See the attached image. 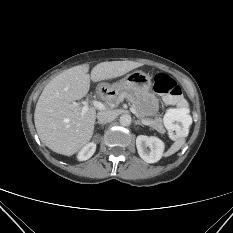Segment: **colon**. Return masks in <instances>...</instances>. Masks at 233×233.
<instances>
[{
    "label": "colon",
    "mask_w": 233,
    "mask_h": 233,
    "mask_svg": "<svg viewBox=\"0 0 233 233\" xmlns=\"http://www.w3.org/2000/svg\"><path fill=\"white\" fill-rule=\"evenodd\" d=\"M154 90L166 98L168 108L164 121L169 135L173 139L184 136L189 128L191 115L177 82L165 73H158L154 78Z\"/></svg>",
    "instance_id": "obj_1"
}]
</instances>
